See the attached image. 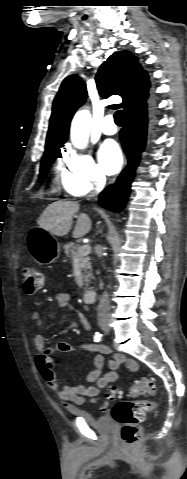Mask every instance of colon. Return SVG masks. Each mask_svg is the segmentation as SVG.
Instances as JSON below:
<instances>
[{
	"label": "colon",
	"instance_id": "5ec220e1",
	"mask_svg": "<svg viewBox=\"0 0 187 479\" xmlns=\"http://www.w3.org/2000/svg\"><path fill=\"white\" fill-rule=\"evenodd\" d=\"M23 290L26 294H34L44 285V275L32 266H25L21 271ZM157 385L153 379L143 378L138 381L130 391V397L124 398L123 391L117 387H109L106 392V400L118 398V402L112 409V417L121 425L120 435L123 443L134 446L142 434L141 424L147 412L155 408V404L148 400H132L136 395H155Z\"/></svg>",
	"mask_w": 187,
	"mask_h": 479
}]
</instances>
